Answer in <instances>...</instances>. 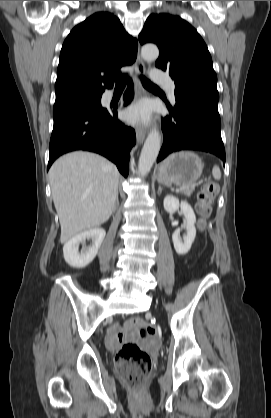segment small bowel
I'll use <instances>...</instances> for the list:
<instances>
[{"label": "small bowel", "mask_w": 271, "mask_h": 418, "mask_svg": "<svg viewBox=\"0 0 271 418\" xmlns=\"http://www.w3.org/2000/svg\"><path fill=\"white\" fill-rule=\"evenodd\" d=\"M134 325H136V320L128 323L124 329H119L117 327L113 328L108 335L107 344L110 347H116L124 338L125 331L131 329Z\"/></svg>", "instance_id": "c3829d8e"}]
</instances>
